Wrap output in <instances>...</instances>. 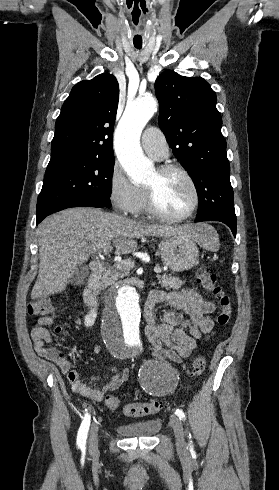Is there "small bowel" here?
<instances>
[{"label":"small bowel","instance_id":"1","mask_svg":"<svg viewBox=\"0 0 279 490\" xmlns=\"http://www.w3.org/2000/svg\"><path fill=\"white\" fill-rule=\"evenodd\" d=\"M157 305H165L168 310L159 322L155 312ZM215 305L205 299L201 294L190 289L178 292H164L153 290L145 302L143 315L146 320L144 333L158 358L178 363L189 357L201 341L206 340L213 333L214 322L211 313ZM188 318H184V316ZM54 322L52 317H41L31 327L30 337L37 354L58 365L61 372L71 383L75 393L93 401H101L109 391L121 388L130 378L131 369H113L112 375L98 388H90L82 382L75 370L72 369L69 359L57 348L51 347L53 336L48 330ZM104 351L101 344L93 347L96 355ZM100 376H91L90 381L96 383Z\"/></svg>","mask_w":279,"mask_h":490}]
</instances>
